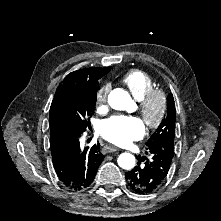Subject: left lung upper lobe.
Listing matches in <instances>:
<instances>
[{"instance_id":"5c2ea615","label":"left lung upper lobe","mask_w":221,"mask_h":221,"mask_svg":"<svg viewBox=\"0 0 221 221\" xmlns=\"http://www.w3.org/2000/svg\"><path fill=\"white\" fill-rule=\"evenodd\" d=\"M167 105L166 118L148 140L146 144L148 148L166 144L174 149L176 110L172 93L167 97Z\"/></svg>"}]
</instances>
